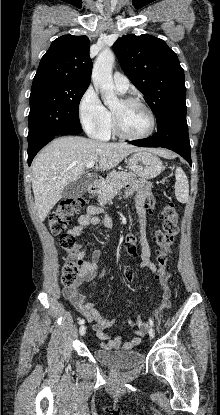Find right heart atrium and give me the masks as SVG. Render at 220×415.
<instances>
[{
  "instance_id": "obj_1",
  "label": "right heart atrium",
  "mask_w": 220,
  "mask_h": 415,
  "mask_svg": "<svg viewBox=\"0 0 220 415\" xmlns=\"http://www.w3.org/2000/svg\"><path fill=\"white\" fill-rule=\"evenodd\" d=\"M78 116L83 129L89 136L102 139L106 135L111 123V115L91 86L80 98Z\"/></svg>"
}]
</instances>
